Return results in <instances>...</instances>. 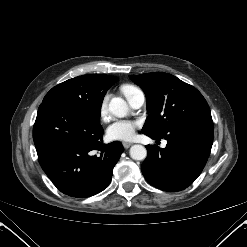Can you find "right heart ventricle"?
Returning a JSON list of instances; mask_svg holds the SVG:
<instances>
[{
  "label": "right heart ventricle",
  "mask_w": 247,
  "mask_h": 247,
  "mask_svg": "<svg viewBox=\"0 0 247 247\" xmlns=\"http://www.w3.org/2000/svg\"><path fill=\"white\" fill-rule=\"evenodd\" d=\"M120 90L123 95L128 98L133 92L137 91L138 88L130 84H125L121 86Z\"/></svg>",
  "instance_id": "1"
}]
</instances>
